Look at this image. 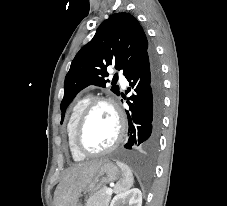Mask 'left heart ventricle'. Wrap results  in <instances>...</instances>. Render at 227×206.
<instances>
[{
  "label": "left heart ventricle",
  "instance_id": "obj_1",
  "mask_svg": "<svg viewBox=\"0 0 227 206\" xmlns=\"http://www.w3.org/2000/svg\"><path fill=\"white\" fill-rule=\"evenodd\" d=\"M118 132L113 109L106 104L96 106L89 115L82 132V144L90 151H100L110 146Z\"/></svg>",
  "mask_w": 227,
  "mask_h": 206
}]
</instances>
